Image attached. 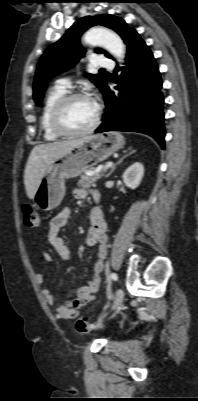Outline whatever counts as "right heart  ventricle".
Wrapping results in <instances>:
<instances>
[{"label":"right heart ventricle","instance_id":"right-heart-ventricle-1","mask_svg":"<svg viewBox=\"0 0 198 401\" xmlns=\"http://www.w3.org/2000/svg\"><path fill=\"white\" fill-rule=\"evenodd\" d=\"M67 94V90L60 86L53 87L46 95L40 117V128L43 137L48 141L58 140L61 136L51 126V113L57 101Z\"/></svg>","mask_w":198,"mask_h":401}]
</instances>
